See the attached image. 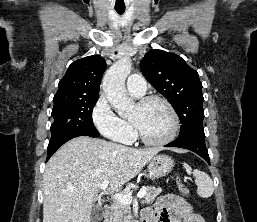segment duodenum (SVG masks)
<instances>
[{
    "label": "duodenum",
    "instance_id": "410a0bca",
    "mask_svg": "<svg viewBox=\"0 0 257 222\" xmlns=\"http://www.w3.org/2000/svg\"><path fill=\"white\" fill-rule=\"evenodd\" d=\"M103 210H104V217L107 218L110 214L111 207L109 205H104Z\"/></svg>",
    "mask_w": 257,
    "mask_h": 222
}]
</instances>
